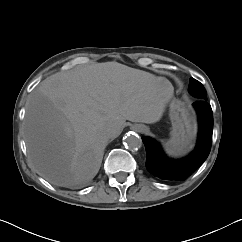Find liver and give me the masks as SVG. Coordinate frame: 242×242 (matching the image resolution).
<instances>
[{
	"label": "liver",
	"mask_w": 242,
	"mask_h": 242,
	"mask_svg": "<svg viewBox=\"0 0 242 242\" xmlns=\"http://www.w3.org/2000/svg\"><path fill=\"white\" fill-rule=\"evenodd\" d=\"M174 87L164 77L118 62L96 63L46 78L26 103L24 136L37 172L58 186L98 173L112 122L159 121ZM122 132V131H121Z\"/></svg>",
	"instance_id": "liver-1"
}]
</instances>
